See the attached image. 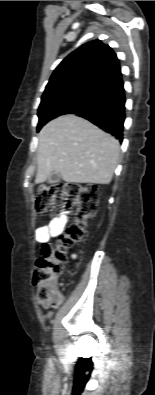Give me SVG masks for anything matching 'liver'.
<instances>
[{"label": "liver", "instance_id": "liver-1", "mask_svg": "<svg viewBox=\"0 0 155 395\" xmlns=\"http://www.w3.org/2000/svg\"><path fill=\"white\" fill-rule=\"evenodd\" d=\"M120 154L118 140L73 114L48 122L38 135L35 183L51 172L65 182L109 184Z\"/></svg>", "mask_w": 155, "mask_h": 395}]
</instances>
